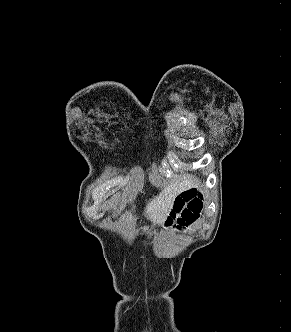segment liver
<instances>
[{
  "instance_id": "liver-1",
  "label": "liver",
  "mask_w": 291,
  "mask_h": 332,
  "mask_svg": "<svg viewBox=\"0 0 291 332\" xmlns=\"http://www.w3.org/2000/svg\"><path fill=\"white\" fill-rule=\"evenodd\" d=\"M198 184L193 176L184 175L179 181L167 185L159 196L153 198L146 206L145 214L153 225L162 224L171 211L175 198L183 191Z\"/></svg>"
}]
</instances>
